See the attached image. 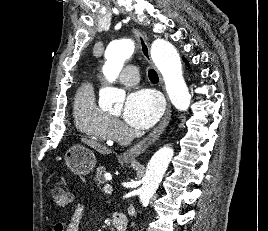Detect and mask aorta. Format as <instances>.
<instances>
[{"instance_id": "aorta-1", "label": "aorta", "mask_w": 268, "mask_h": 231, "mask_svg": "<svg viewBox=\"0 0 268 231\" xmlns=\"http://www.w3.org/2000/svg\"><path fill=\"white\" fill-rule=\"evenodd\" d=\"M134 53V44L130 40H119L109 44L105 51L106 62L103 74L108 82H114L119 76L124 62ZM151 58L161 72L166 91L176 109L186 111L189 108L191 96L182 74V64L175 47L164 39H156L151 45ZM125 93L117 88L106 87L100 90L99 104L108 107L115 104L120 108ZM173 157V149L161 147L150 159L142 186L139 188L140 202H148L159 187L162 178Z\"/></svg>"}]
</instances>
